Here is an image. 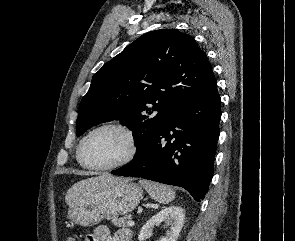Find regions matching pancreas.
<instances>
[{
	"label": "pancreas",
	"instance_id": "obj_1",
	"mask_svg": "<svg viewBox=\"0 0 295 241\" xmlns=\"http://www.w3.org/2000/svg\"><path fill=\"white\" fill-rule=\"evenodd\" d=\"M110 219H111V222L117 227H122V228L128 227L125 217L118 218V216H111Z\"/></svg>",
	"mask_w": 295,
	"mask_h": 241
}]
</instances>
